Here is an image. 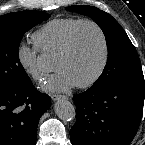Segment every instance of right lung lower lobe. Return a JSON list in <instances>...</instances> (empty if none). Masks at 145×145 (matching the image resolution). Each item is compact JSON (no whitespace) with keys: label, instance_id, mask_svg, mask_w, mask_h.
Returning <instances> with one entry per match:
<instances>
[{"label":"right lung lower lobe","instance_id":"obj_1","mask_svg":"<svg viewBox=\"0 0 145 145\" xmlns=\"http://www.w3.org/2000/svg\"><path fill=\"white\" fill-rule=\"evenodd\" d=\"M50 103L30 79L21 87L0 89V145H35L39 119Z\"/></svg>","mask_w":145,"mask_h":145}]
</instances>
